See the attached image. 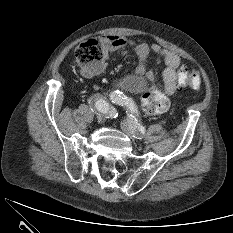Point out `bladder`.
Returning <instances> with one entry per match:
<instances>
[{"mask_svg": "<svg viewBox=\"0 0 233 233\" xmlns=\"http://www.w3.org/2000/svg\"><path fill=\"white\" fill-rule=\"evenodd\" d=\"M122 87L130 91H141L146 86V81L140 77H132L122 81Z\"/></svg>", "mask_w": 233, "mask_h": 233, "instance_id": "1", "label": "bladder"}]
</instances>
